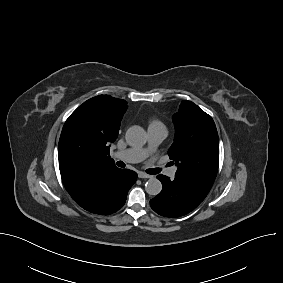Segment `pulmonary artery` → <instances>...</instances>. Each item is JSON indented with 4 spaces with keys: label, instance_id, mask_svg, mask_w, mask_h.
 Here are the masks:
<instances>
[{
    "label": "pulmonary artery",
    "instance_id": "e3ab8cb5",
    "mask_svg": "<svg viewBox=\"0 0 283 283\" xmlns=\"http://www.w3.org/2000/svg\"><path fill=\"white\" fill-rule=\"evenodd\" d=\"M167 136V130L164 126L148 127L149 145L147 148H129L122 151H117L113 154V158L119 159L129 163L140 162L145 159L150 152H152ZM176 168L173 167L168 170L167 174L174 177Z\"/></svg>",
    "mask_w": 283,
    "mask_h": 283
}]
</instances>
